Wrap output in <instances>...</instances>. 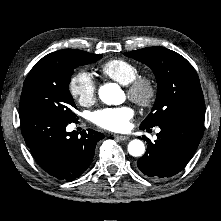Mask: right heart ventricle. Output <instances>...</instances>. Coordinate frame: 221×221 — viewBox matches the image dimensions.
Segmentation results:
<instances>
[{
    "instance_id": "right-heart-ventricle-1",
    "label": "right heart ventricle",
    "mask_w": 221,
    "mask_h": 221,
    "mask_svg": "<svg viewBox=\"0 0 221 221\" xmlns=\"http://www.w3.org/2000/svg\"><path fill=\"white\" fill-rule=\"evenodd\" d=\"M100 71L106 77L125 86L139 76V68L125 59L108 60L100 66Z\"/></svg>"
}]
</instances>
